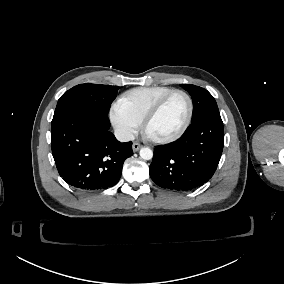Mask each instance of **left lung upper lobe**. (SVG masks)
Segmentation results:
<instances>
[{
  "label": "left lung upper lobe",
  "instance_id": "left-lung-upper-lobe-1",
  "mask_svg": "<svg viewBox=\"0 0 284 284\" xmlns=\"http://www.w3.org/2000/svg\"><path fill=\"white\" fill-rule=\"evenodd\" d=\"M182 87L189 92L193 101L192 121L207 115L219 114L214 97L204 88L199 86L182 84Z\"/></svg>",
  "mask_w": 284,
  "mask_h": 284
}]
</instances>
